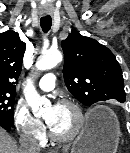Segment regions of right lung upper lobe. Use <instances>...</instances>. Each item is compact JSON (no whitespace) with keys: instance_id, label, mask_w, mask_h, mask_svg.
I'll list each match as a JSON object with an SVG mask.
<instances>
[{"instance_id":"right-lung-upper-lobe-1","label":"right lung upper lobe","mask_w":130,"mask_h":153,"mask_svg":"<svg viewBox=\"0 0 130 153\" xmlns=\"http://www.w3.org/2000/svg\"><path fill=\"white\" fill-rule=\"evenodd\" d=\"M25 48L26 44L20 40L18 33H0V93L15 94Z\"/></svg>"}]
</instances>
